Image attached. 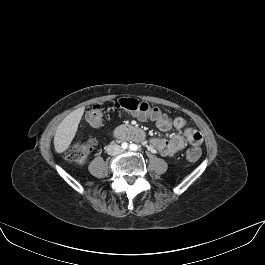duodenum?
I'll return each instance as SVG.
<instances>
[{
	"instance_id": "obj_1",
	"label": "duodenum",
	"mask_w": 265,
	"mask_h": 265,
	"mask_svg": "<svg viewBox=\"0 0 265 265\" xmlns=\"http://www.w3.org/2000/svg\"><path fill=\"white\" fill-rule=\"evenodd\" d=\"M113 134L120 141L143 140L141 129L136 127H118L114 130Z\"/></svg>"
}]
</instances>
